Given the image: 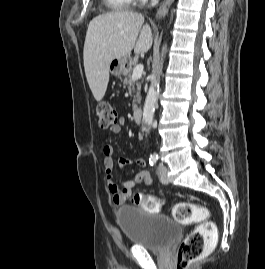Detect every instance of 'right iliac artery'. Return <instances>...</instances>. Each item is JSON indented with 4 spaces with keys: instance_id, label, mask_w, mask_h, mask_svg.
<instances>
[{
    "instance_id": "1",
    "label": "right iliac artery",
    "mask_w": 265,
    "mask_h": 269,
    "mask_svg": "<svg viewBox=\"0 0 265 269\" xmlns=\"http://www.w3.org/2000/svg\"><path fill=\"white\" fill-rule=\"evenodd\" d=\"M157 160H158V156H151L149 158L150 165L153 166L157 162Z\"/></svg>"
}]
</instances>
